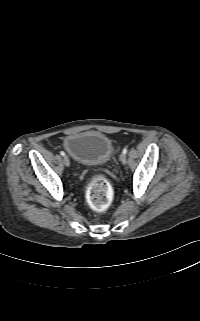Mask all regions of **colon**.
Here are the masks:
<instances>
[{
    "instance_id": "1",
    "label": "colon",
    "mask_w": 200,
    "mask_h": 321,
    "mask_svg": "<svg viewBox=\"0 0 200 321\" xmlns=\"http://www.w3.org/2000/svg\"><path fill=\"white\" fill-rule=\"evenodd\" d=\"M87 199L93 210L103 212L107 210L112 203L113 190L105 179L96 177L88 185Z\"/></svg>"
}]
</instances>
